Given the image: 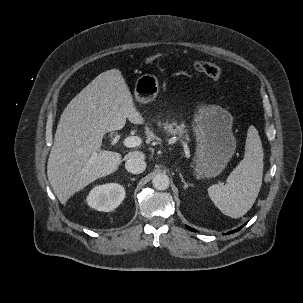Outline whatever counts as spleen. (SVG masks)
<instances>
[{
	"label": "spleen",
	"instance_id": "spleen-1",
	"mask_svg": "<svg viewBox=\"0 0 303 303\" xmlns=\"http://www.w3.org/2000/svg\"><path fill=\"white\" fill-rule=\"evenodd\" d=\"M263 156L258 131L250 126L244 159L228 176L225 185L214 184L208 188L209 197L223 214L240 218L251 209L262 185Z\"/></svg>",
	"mask_w": 303,
	"mask_h": 303
}]
</instances>
